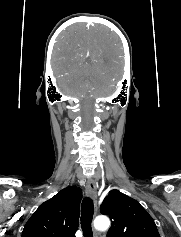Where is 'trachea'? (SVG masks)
I'll return each mask as SVG.
<instances>
[{
	"label": "trachea",
	"instance_id": "3493384b",
	"mask_svg": "<svg viewBox=\"0 0 181 237\" xmlns=\"http://www.w3.org/2000/svg\"><path fill=\"white\" fill-rule=\"evenodd\" d=\"M94 214L93 201L90 198H85L81 206V228L84 237H93L92 235V219Z\"/></svg>",
	"mask_w": 181,
	"mask_h": 237
}]
</instances>
